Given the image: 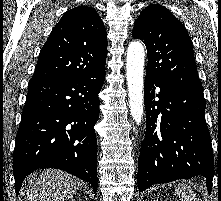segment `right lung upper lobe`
Wrapping results in <instances>:
<instances>
[{
    "label": "right lung upper lobe",
    "instance_id": "cb5924a9",
    "mask_svg": "<svg viewBox=\"0 0 221 201\" xmlns=\"http://www.w3.org/2000/svg\"><path fill=\"white\" fill-rule=\"evenodd\" d=\"M107 35L97 12L78 6L66 12L42 47L31 80H65L105 71Z\"/></svg>",
    "mask_w": 221,
    "mask_h": 201
}]
</instances>
